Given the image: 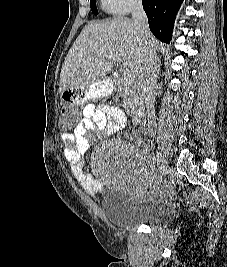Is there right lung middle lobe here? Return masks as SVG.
<instances>
[{
	"instance_id": "right-lung-middle-lobe-1",
	"label": "right lung middle lobe",
	"mask_w": 227,
	"mask_h": 267,
	"mask_svg": "<svg viewBox=\"0 0 227 267\" xmlns=\"http://www.w3.org/2000/svg\"><path fill=\"white\" fill-rule=\"evenodd\" d=\"M90 7H91V10L92 12L97 15L98 14V10H97V7H96V2L95 0H90Z\"/></svg>"
}]
</instances>
